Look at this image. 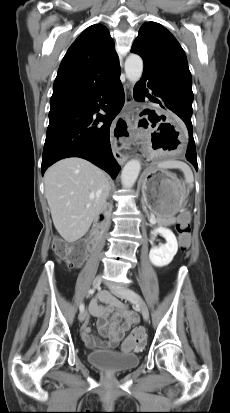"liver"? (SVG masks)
Instances as JSON below:
<instances>
[{"label": "liver", "mask_w": 230, "mask_h": 413, "mask_svg": "<svg viewBox=\"0 0 230 413\" xmlns=\"http://www.w3.org/2000/svg\"><path fill=\"white\" fill-rule=\"evenodd\" d=\"M44 186L54 226L69 243L87 233L106 206L110 187L103 170L77 157L60 160L49 167Z\"/></svg>", "instance_id": "liver-1"}]
</instances>
